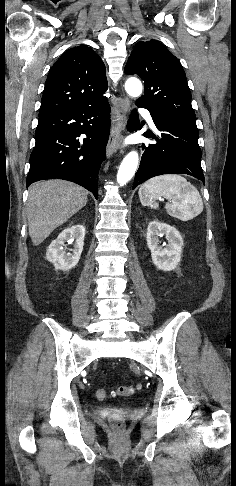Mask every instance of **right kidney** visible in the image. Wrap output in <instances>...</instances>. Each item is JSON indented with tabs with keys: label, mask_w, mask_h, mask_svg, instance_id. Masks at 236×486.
<instances>
[{
	"label": "right kidney",
	"mask_w": 236,
	"mask_h": 486,
	"mask_svg": "<svg viewBox=\"0 0 236 486\" xmlns=\"http://www.w3.org/2000/svg\"><path fill=\"white\" fill-rule=\"evenodd\" d=\"M85 227L77 224L64 229L49 245L46 251V259L53 263L56 270L69 271L74 268L83 251ZM65 243L73 244V249H68Z\"/></svg>",
	"instance_id": "obj_1"
}]
</instances>
